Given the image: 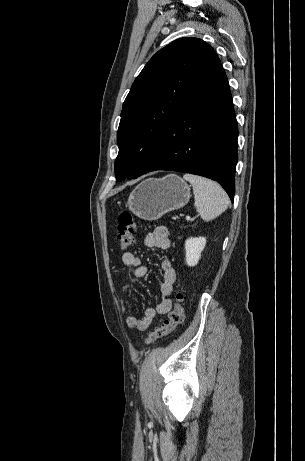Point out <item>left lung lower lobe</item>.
<instances>
[{"instance_id": "0a47b994", "label": "left lung lower lobe", "mask_w": 305, "mask_h": 461, "mask_svg": "<svg viewBox=\"0 0 305 461\" xmlns=\"http://www.w3.org/2000/svg\"><path fill=\"white\" fill-rule=\"evenodd\" d=\"M237 137L232 96L218 58L168 123L148 172L171 170L208 177L219 182L233 201Z\"/></svg>"}]
</instances>
